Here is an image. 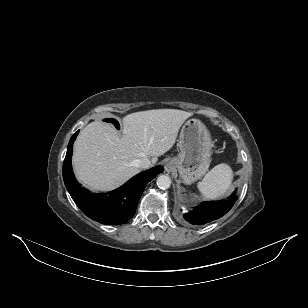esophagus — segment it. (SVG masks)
Returning <instances> with one entry per match:
<instances>
[{
  "label": "esophagus",
  "instance_id": "esophagus-1",
  "mask_svg": "<svg viewBox=\"0 0 308 308\" xmlns=\"http://www.w3.org/2000/svg\"><path fill=\"white\" fill-rule=\"evenodd\" d=\"M166 171L170 172L173 169V164L172 162H167L165 165Z\"/></svg>",
  "mask_w": 308,
  "mask_h": 308
}]
</instances>
